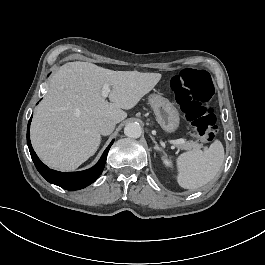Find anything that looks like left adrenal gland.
<instances>
[{
  "instance_id": "obj_1",
  "label": "left adrenal gland",
  "mask_w": 265,
  "mask_h": 265,
  "mask_svg": "<svg viewBox=\"0 0 265 265\" xmlns=\"http://www.w3.org/2000/svg\"><path fill=\"white\" fill-rule=\"evenodd\" d=\"M150 138H151V140L154 142V144H155V151L156 152H159L160 154H161V156H165V153H164V151L162 150V149H160L159 148V146H158V144L156 143V141H155V139L152 137V136H150Z\"/></svg>"
}]
</instances>
